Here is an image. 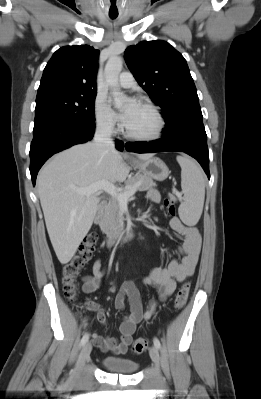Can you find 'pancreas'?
I'll return each instance as SVG.
<instances>
[{
	"instance_id": "pancreas-1",
	"label": "pancreas",
	"mask_w": 261,
	"mask_h": 399,
	"mask_svg": "<svg viewBox=\"0 0 261 399\" xmlns=\"http://www.w3.org/2000/svg\"><path fill=\"white\" fill-rule=\"evenodd\" d=\"M137 185L136 190L147 191L156 186V183L148 176L137 174L130 177L125 182V187L121 192H126L133 186ZM100 227L103 233L109 238H115L124 231V216L120 209L119 201L112 197L105 207L103 220L100 222Z\"/></svg>"
}]
</instances>
